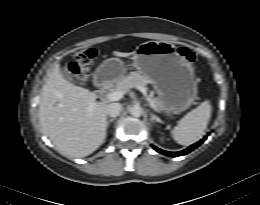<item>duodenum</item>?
Wrapping results in <instances>:
<instances>
[{"label":"duodenum","instance_id":"duodenum-1","mask_svg":"<svg viewBox=\"0 0 260 205\" xmlns=\"http://www.w3.org/2000/svg\"><path fill=\"white\" fill-rule=\"evenodd\" d=\"M95 81H96V84H97L96 94L99 97H103L106 94L107 90L109 89V83L107 81H105L100 76V74H97L95 76Z\"/></svg>","mask_w":260,"mask_h":205}]
</instances>
